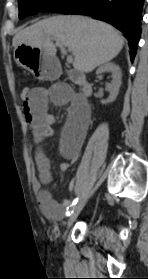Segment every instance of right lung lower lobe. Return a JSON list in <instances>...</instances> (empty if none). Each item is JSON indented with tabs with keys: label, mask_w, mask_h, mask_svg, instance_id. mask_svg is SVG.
I'll use <instances>...</instances> for the list:
<instances>
[{
	"label": "right lung lower lobe",
	"mask_w": 148,
	"mask_h": 279,
	"mask_svg": "<svg viewBox=\"0 0 148 279\" xmlns=\"http://www.w3.org/2000/svg\"><path fill=\"white\" fill-rule=\"evenodd\" d=\"M143 5L144 0H82L61 12L88 15L114 25L128 39L133 61L141 35Z\"/></svg>",
	"instance_id": "98d812e1"
}]
</instances>
